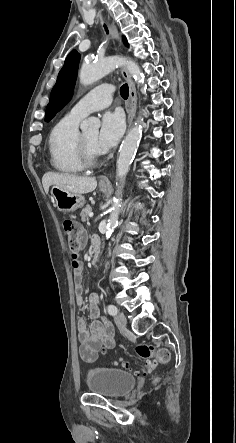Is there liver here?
<instances>
[{"mask_svg":"<svg viewBox=\"0 0 236 443\" xmlns=\"http://www.w3.org/2000/svg\"><path fill=\"white\" fill-rule=\"evenodd\" d=\"M42 184L46 194L51 185L75 194H86L95 190L97 181L94 177H78L70 174L47 172L42 177Z\"/></svg>","mask_w":236,"mask_h":443,"instance_id":"liver-1","label":"liver"}]
</instances>
